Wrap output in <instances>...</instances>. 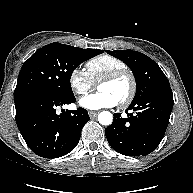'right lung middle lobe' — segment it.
Listing matches in <instances>:
<instances>
[{
    "instance_id": "1",
    "label": "right lung middle lobe",
    "mask_w": 193,
    "mask_h": 193,
    "mask_svg": "<svg viewBox=\"0 0 193 193\" xmlns=\"http://www.w3.org/2000/svg\"><path fill=\"white\" fill-rule=\"evenodd\" d=\"M102 52L60 43L42 47L23 64L14 91V102L38 92L74 96L70 85L72 72L81 63Z\"/></svg>"
}]
</instances>
